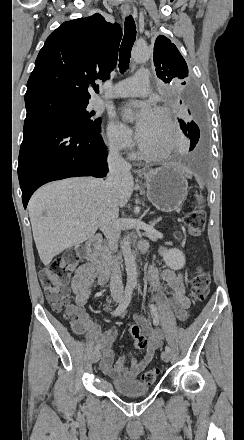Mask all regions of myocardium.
I'll return each instance as SVG.
<instances>
[{
  "label": "myocardium",
  "mask_w": 244,
  "mask_h": 440,
  "mask_svg": "<svg viewBox=\"0 0 244 440\" xmlns=\"http://www.w3.org/2000/svg\"><path fill=\"white\" fill-rule=\"evenodd\" d=\"M154 111H156V112H160V113H164V114L167 116V119H168V126H167V130H166L165 136H164L159 142H157V144H162V145H164V144L166 143V139H167L168 132H169V130L171 129V124H172V119H173V113H172V111H171L168 107H166V106H156V107L154 108ZM141 144H142L143 146H152V145H149V144H148V142H147L146 139H142ZM168 155H169L168 147H165V149L163 150V152H162L161 154H158V155L153 156L152 159L155 160V161H163V160H165V159L168 158Z\"/></svg>",
  "instance_id": "1"
}]
</instances>
